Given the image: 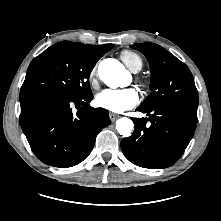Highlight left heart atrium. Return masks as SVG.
I'll return each mask as SVG.
<instances>
[{"mask_svg": "<svg viewBox=\"0 0 221 221\" xmlns=\"http://www.w3.org/2000/svg\"><path fill=\"white\" fill-rule=\"evenodd\" d=\"M139 101L138 91L134 88L107 89L96 97L99 107L114 113H121L134 107Z\"/></svg>", "mask_w": 221, "mask_h": 221, "instance_id": "obj_1", "label": "left heart atrium"}]
</instances>
